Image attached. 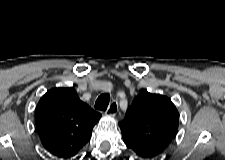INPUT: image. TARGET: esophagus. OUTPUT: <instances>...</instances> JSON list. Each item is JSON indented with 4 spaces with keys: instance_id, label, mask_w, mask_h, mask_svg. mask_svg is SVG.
I'll list each match as a JSON object with an SVG mask.
<instances>
[{
    "instance_id": "obj_1",
    "label": "esophagus",
    "mask_w": 225,
    "mask_h": 160,
    "mask_svg": "<svg viewBox=\"0 0 225 160\" xmlns=\"http://www.w3.org/2000/svg\"><path fill=\"white\" fill-rule=\"evenodd\" d=\"M117 111H118V103L116 100H113L107 109V114L115 116Z\"/></svg>"
}]
</instances>
